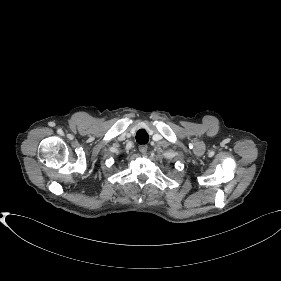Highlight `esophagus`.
Wrapping results in <instances>:
<instances>
[{
	"instance_id": "obj_1",
	"label": "esophagus",
	"mask_w": 281,
	"mask_h": 281,
	"mask_svg": "<svg viewBox=\"0 0 281 281\" xmlns=\"http://www.w3.org/2000/svg\"><path fill=\"white\" fill-rule=\"evenodd\" d=\"M147 149H148V146H147V145H140V146H139V151H140L143 155L146 154Z\"/></svg>"
}]
</instances>
